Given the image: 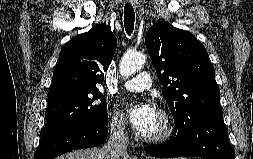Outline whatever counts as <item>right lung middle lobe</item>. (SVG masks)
Wrapping results in <instances>:
<instances>
[{
	"instance_id": "right-lung-middle-lobe-1",
	"label": "right lung middle lobe",
	"mask_w": 253,
	"mask_h": 159,
	"mask_svg": "<svg viewBox=\"0 0 253 159\" xmlns=\"http://www.w3.org/2000/svg\"><path fill=\"white\" fill-rule=\"evenodd\" d=\"M46 124L40 141L81 123H108L107 104L99 90L48 98Z\"/></svg>"
}]
</instances>
